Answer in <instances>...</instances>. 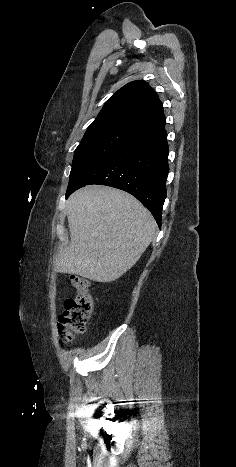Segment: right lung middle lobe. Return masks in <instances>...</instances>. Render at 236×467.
I'll return each instance as SVG.
<instances>
[{
	"label": "right lung middle lobe",
	"instance_id": "right-lung-middle-lobe-1",
	"mask_svg": "<svg viewBox=\"0 0 236 467\" xmlns=\"http://www.w3.org/2000/svg\"><path fill=\"white\" fill-rule=\"evenodd\" d=\"M138 134L135 130L119 126L87 129L75 150L68 186L74 184L102 158Z\"/></svg>",
	"mask_w": 236,
	"mask_h": 467
}]
</instances>
